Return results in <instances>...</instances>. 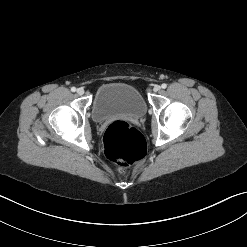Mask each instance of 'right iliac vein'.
I'll use <instances>...</instances> for the list:
<instances>
[{"mask_svg":"<svg viewBox=\"0 0 247 247\" xmlns=\"http://www.w3.org/2000/svg\"><path fill=\"white\" fill-rule=\"evenodd\" d=\"M77 94L78 95H83L84 94V89L83 88H78L77 89Z\"/></svg>","mask_w":247,"mask_h":247,"instance_id":"1","label":"right iliac vein"}]
</instances>
